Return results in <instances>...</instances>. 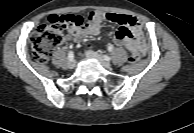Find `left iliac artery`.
Wrapping results in <instances>:
<instances>
[{
    "label": "left iliac artery",
    "mask_w": 194,
    "mask_h": 133,
    "mask_svg": "<svg viewBox=\"0 0 194 133\" xmlns=\"http://www.w3.org/2000/svg\"><path fill=\"white\" fill-rule=\"evenodd\" d=\"M103 58H104V60H106V61H110V60H111V58H110L109 56H107V55H103Z\"/></svg>",
    "instance_id": "44dca946"
}]
</instances>
